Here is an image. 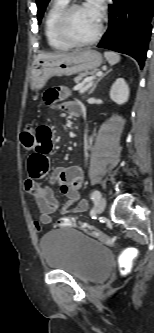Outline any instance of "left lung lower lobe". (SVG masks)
<instances>
[{
  "label": "left lung lower lobe",
  "instance_id": "left-lung-lower-lobe-1",
  "mask_svg": "<svg viewBox=\"0 0 154 333\" xmlns=\"http://www.w3.org/2000/svg\"><path fill=\"white\" fill-rule=\"evenodd\" d=\"M109 27L98 47L135 58L143 68L151 36L154 0H113Z\"/></svg>",
  "mask_w": 154,
  "mask_h": 333
}]
</instances>
